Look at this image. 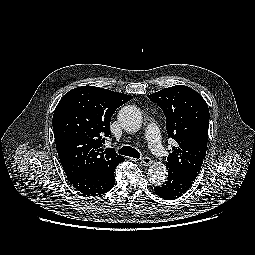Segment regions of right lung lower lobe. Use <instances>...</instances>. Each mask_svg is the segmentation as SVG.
<instances>
[{
    "mask_svg": "<svg viewBox=\"0 0 255 255\" xmlns=\"http://www.w3.org/2000/svg\"><path fill=\"white\" fill-rule=\"evenodd\" d=\"M115 168L103 174L68 176L71 184L82 194L97 196L106 193L115 183Z\"/></svg>",
    "mask_w": 255,
    "mask_h": 255,
    "instance_id": "obj_1",
    "label": "right lung lower lobe"
}]
</instances>
